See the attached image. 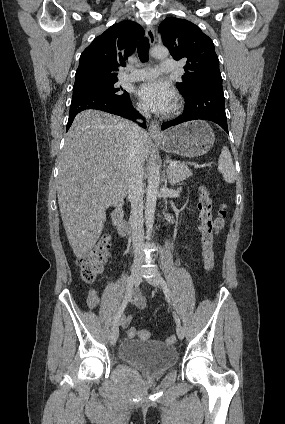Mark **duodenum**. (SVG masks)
I'll use <instances>...</instances> for the list:
<instances>
[{"label": "duodenum", "instance_id": "obj_1", "mask_svg": "<svg viewBox=\"0 0 285 424\" xmlns=\"http://www.w3.org/2000/svg\"><path fill=\"white\" fill-rule=\"evenodd\" d=\"M112 222L115 228L117 229L119 235L125 236L129 230V224L125 219L123 209L118 206L112 212Z\"/></svg>", "mask_w": 285, "mask_h": 424}]
</instances>
